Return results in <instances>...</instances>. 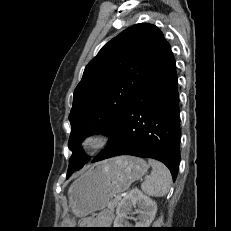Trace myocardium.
Wrapping results in <instances>:
<instances>
[{
  "label": "myocardium",
  "instance_id": "1",
  "mask_svg": "<svg viewBox=\"0 0 231 231\" xmlns=\"http://www.w3.org/2000/svg\"><path fill=\"white\" fill-rule=\"evenodd\" d=\"M109 142V136L104 132H94L85 136L80 143L84 152L93 153L104 148Z\"/></svg>",
  "mask_w": 231,
  "mask_h": 231
}]
</instances>
